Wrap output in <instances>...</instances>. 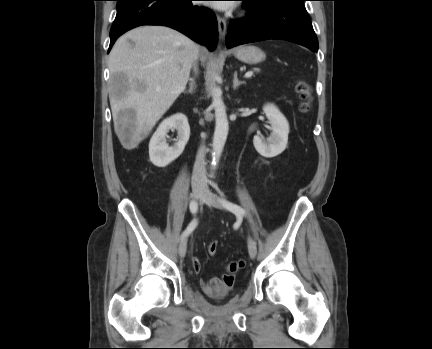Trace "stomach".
<instances>
[{
	"instance_id": "0dacf381",
	"label": "stomach",
	"mask_w": 432,
	"mask_h": 349,
	"mask_svg": "<svg viewBox=\"0 0 432 349\" xmlns=\"http://www.w3.org/2000/svg\"><path fill=\"white\" fill-rule=\"evenodd\" d=\"M234 56L241 62L254 65L265 60V53L252 45L239 46L233 50Z\"/></svg>"
}]
</instances>
